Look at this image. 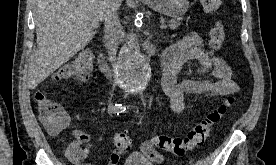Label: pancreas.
Wrapping results in <instances>:
<instances>
[{
  "instance_id": "1",
  "label": "pancreas",
  "mask_w": 276,
  "mask_h": 165,
  "mask_svg": "<svg viewBox=\"0 0 276 165\" xmlns=\"http://www.w3.org/2000/svg\"><path fill=\"white\" fill-rule=\"evenodd\" d=\"M180 24H181V19H173V20L169 21V25L168 26L171 29H176V28H178L180 26Z\"/></svg>"
}]
</instances>
